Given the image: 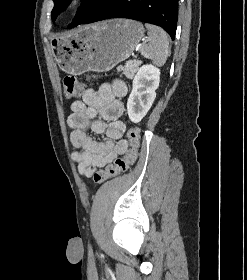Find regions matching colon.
<instances>
[{"mask_svg":"<svg viewBox=\"0 0 247 280\" xmlns=\"http://www.w3.org/2000/svg\"><path fill=\"white\" fill-rule=\"evenodd\" d=\"M85 89L84 83L75 76L68 75L63 80V92L66 98L79 97ZM127 138L129 148L123 157L117 158L105 168L97 171L93 175L96 184H102L126 172L137 160L138 151L141 143L140 129L136 126L128 130Z\"/></svg>","mask_w":247,"mask_h":280,"instance_id":"5ec220e1","label":"colon"}]
</instances>
